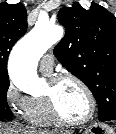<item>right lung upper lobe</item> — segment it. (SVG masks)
Instances as JSON below:
<instances>
[{
	"instance_id": "right-lung-upper-lobe-1",
	"label": "right lung upper lobe",
	"mask_w": 116,
	"mask_h": 134,
	"mask_svg": "<svg viewBox=\"0 0 116 134\" xmlns=\"http://www.w3.org/2000/svg\"><path fill=\"white\" fill-rule=\"evenodd\" d=\"M27 30V12L22 3L0 4V76L7 75V60L14 44Z\"/></svg>"
}]
</instances>
